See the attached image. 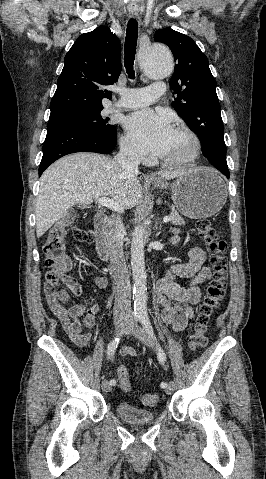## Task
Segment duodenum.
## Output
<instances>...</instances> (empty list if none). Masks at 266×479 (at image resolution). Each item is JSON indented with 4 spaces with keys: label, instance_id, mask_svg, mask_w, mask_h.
Instances as JSON below:
<instances>
[{
    "label": "duodenum",
    "instance_id": "obj_1",
    "mask_svg": "<svg viewBox=\"0 0 266 479\" xmlns=\"http://www.w3.org/2000/svg\"><path fill=\"white\" fill-rule=\"evenodd\" d=\"M109 218L104 212H98L94 218V241L96 251L103 261L110 258V247L108 242L107 225Z\"/></svg>",
    "mask_w": 266,
    "mask_h": 479
}]
</instances>
